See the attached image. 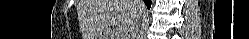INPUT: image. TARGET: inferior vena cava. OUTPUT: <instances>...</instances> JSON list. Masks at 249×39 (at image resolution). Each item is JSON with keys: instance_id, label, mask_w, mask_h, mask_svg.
Returning <instances> with one entry per match:
<instances>
[{"instance_id": "1", "label": "inferior vena cava", "mask_w": 249, "mask_h": 39, "mask_svg": "<svg viewBox=\"0 0 249 39\" xmlns=\"http://www.w3.org/2000/svg\"><path fill=\"white\" fill-rule=\"evenodd\" d=\"M133 1L136 2L137 4L141 2V0H133ZM140 16H141V12H138V14L135 16L134 23H132V25L130 26L132 28V30L136 27V25L140 19Z\"/></svg>"}]
</instances>
